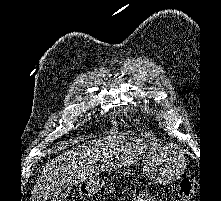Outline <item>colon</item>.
I'll list each match as a JSON object with an SVG mask.
<instances>
[{
    "instance_id": "5ec220e1",
    "label": "colon",
    "mask_w": 221,
    "mask_h": 201,
    "mask_svg": "<svg viewBox=\"0 0 221 201\" xmlns=\"http://www.w3.org/2000/svg\"><path fill=\"white\" fill-rule=\"evenodd\" d=\"M179 196L182 201H195V189L188 178H183L180 181Z\"/></svg>"
}]
</instances>
